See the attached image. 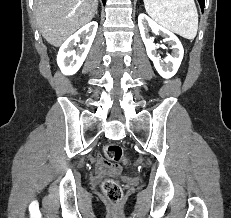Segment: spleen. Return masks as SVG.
I'll return each instance as SVG.
<instances>
[{"label": "spleen", "instance_id": "3e777b00", "mask_svg": "<svg viewBox=\"0 0 231 218\" xmlns=\"http://www.w3.org/2000/svg\"><path fill=\"white\" fill-rule=\"evenodd\" d=\"M146 12L159 24L193 40L198 30L194 0H143Z\"/></svg>", "mask_w": 231, "mask_h": 218}]
</instances>
